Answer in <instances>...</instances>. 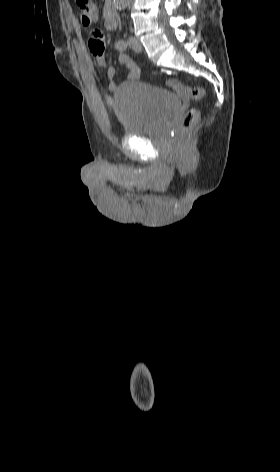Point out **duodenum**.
<instances>
[{
    "instance_id": "410a0bca",
    "label": "duodenum",
    "mask_w": 280,
    "mask_h": 472,
    "mask_svg": "<svg viewBox=\"0 0 280 472\" xmlns=\"http://www.w3.org/2000/svg\"><path fill=\"white\" fill-rule=\"evenodd\" d=\"M104 24L108 30H115L117 28V19L110 6H107L104 11Z\"/></svg>"
}]
</instances>
